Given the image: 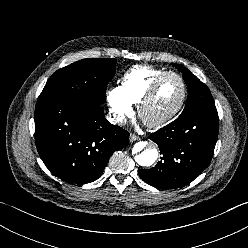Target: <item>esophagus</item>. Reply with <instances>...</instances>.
Segmentation results:
<instances>
[{
    "label": "esophagus",
    "mask_w": 248,
    "mask_h": 248,
    "mask_svg": "<svg viewBox=\"0 0 248 248\" xmlns=\"http://www.w3.org/2000/svg\"><path fill=\"white\" fill-rule=\"evenodd\" d=\"M129 140H130V142H134V141L139 140V137L135 134H130Z\"/></svg>",
    "instance_id": "1"
}]
</instances>
